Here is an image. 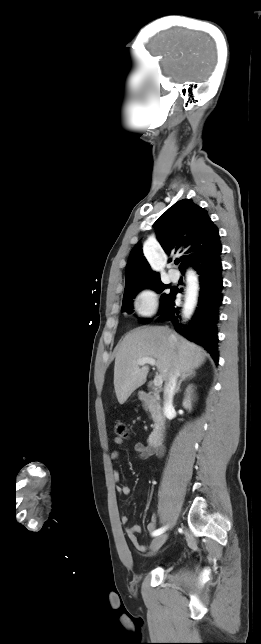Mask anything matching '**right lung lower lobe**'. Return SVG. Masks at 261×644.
<instances>
[{"label":"right lung lower lobe","mask_w":261,"mask_h":644,"mask_svg":"<svg viewBox=\"0 0 261 644\" xmlns=\"http://www.w3.org/2000/svg\"><path fill=\"white\" fill-rule=\"evenodd\" d=\"M200 275L198 307L187 325L181 323L180 307L175 305L176 294L181 290L175 289V294L161 313L158 320H170L174 329L187 339L202 346L215 360L218 361V327L219 310L222 305L223 281L220 257L207 264L195 265ZM184 273V269L182 270Z\"/></svg>","instance_id":"obj_1"}]
</instances>
